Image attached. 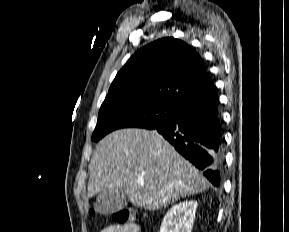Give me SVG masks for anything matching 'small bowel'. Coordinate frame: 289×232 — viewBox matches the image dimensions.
Here are the masks:
<instances>
[{"label": "small bowel", "mask_w": 289, "mask_h": 232, "mask_svg": "<svg viewBox=\"0 0 289 232\" xmlns=\"http://www.w3.org/2000/svg\"><path fill=\"white\" fill-rule=\"evenodd\" d=\"M100 232H141V227L135 222H130L126 225H109L103 228Z\"/></svg>", "instance_id": "1"}]
</instances>
